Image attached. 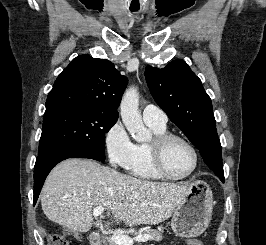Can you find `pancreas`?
Masks as SVG:
<instances>
[{"mask_svg": "<svg viewBox=\"0 0 266 245\" xmlns=\"http://www.w3.org/2000/svg\"><path fill=\"white\" fill-rule=\"evenodd\" d=\"M137 235H150L152 237L150 241H156V243L163 239L161 231H154V229H143V231L135 233L134 237H137ZM108 245H116V243H108Z\"/></svg>", "mask_w": 266, "mask_h": 245, "instance_id": "obj_1", "label": "pancreas"}]
</instances>
